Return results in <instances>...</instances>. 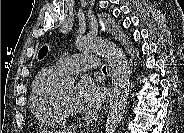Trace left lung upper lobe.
Instances as JSON below:
<instances>
[{
  "instance_id": "left-lung-upper-lobe-1",
  "label": "left lung upper lobe",
  "mask_w": 184,
  "mask_h": 133,
  "mask_svg": "<svg viewBox=\"0 0 184 133\" xmlns=\"http://www.w3.org/2000/svg\"><path fill=\"white\" fill-rule=\"evenodd\" d=\"M48 49L46 46L42 47L39 51L38 58H43V56L47 53Z\"/></svg>"
}]
</instances>
